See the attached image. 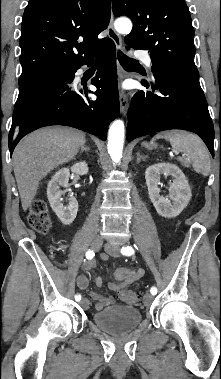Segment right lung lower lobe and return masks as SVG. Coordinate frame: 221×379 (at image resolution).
Wrapping results in <instances>:
<instances>
[{"instance_id":"obj_1","label":"right lung lower lobe","mask_w":221,"mask_h":379,"mask_svg":"<svg viewBox=\"0 0 221 379\" xmlns=\"http://www.w3.org/2000/svg\"><path fill=\"white\" fill-rule=\"evenodd\" d=\"M99 59L88 60L71 68H56L43 80L35 83L25 101L15 106L9 133V150L12 154L17 143L28 133L49 125H66L107 138V127L119 115L116 62L114 43H108L96 55ZM95 57V56H94ZM98 63L100 67L92 84L96 92L74 89V74L83 64ZM97 95L91 99L89 94Z\"/></svg>"}]
</instances>
